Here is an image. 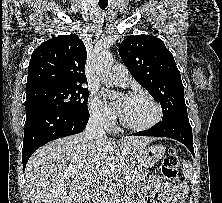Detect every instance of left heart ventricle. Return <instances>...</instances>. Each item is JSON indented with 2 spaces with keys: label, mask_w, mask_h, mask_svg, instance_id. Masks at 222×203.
<instances>
[{
  "label": "left heart ventricle",
  "mask_w": 222,
  "mask_h": 203,
  "mask_svg": "<svg viewBox=\"0 0 222 203\" xmlns=\"http://www.w3.org/2000/svg\"><path fill=\"white\" fill-rule=\"evenodd\" d=\"M123 118L134 125H143L151 122L156 117V108L144 97H121Z\"/></svg>",
  "instance_id": "1"
}]
</instances>
